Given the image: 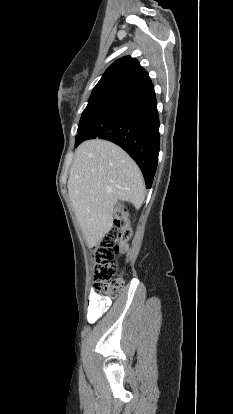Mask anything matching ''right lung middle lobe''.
I'll return each mask as SVG.
<instances>
[{"label": "right lung middle lobe", "instance_id": "dd1d6c3e", "mask_svg": "<svg viewBox=\"0 0 233 414\" xmlns=\"http://www.w3.org/2000/svg\"><path fill=\"white\" fill-rule=\"evenodd\" d=\"M133 80L124 79L118 76L102 77L95 86L92 94L89 98L87 107L82 113L80 123L86 116V114L97 104L105 99L112 97L118 93L123 92L133 84Z\"/></svg>", "mask_w": 233, "mask_h": 414}]
</instances>
